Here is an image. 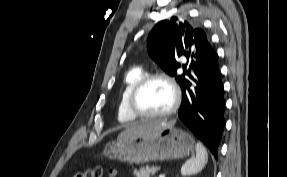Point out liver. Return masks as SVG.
Wrapping results in <instances>:
<instances>
[{
	"label": "liver",
	"mask_w": 287,
	"mask_h": 177,
	"mask_svg": "<svg viewBox=\"0 0 287 177\" xmlns=\"http://www.w3.org/2000/svg\"><path fill=\"white\" fill-rule=\"evenodd\" d=\"M174 124H175V121H170V122L159 121V120L144 121V122H140L137 124H133L130 127L126 128L123 132H121L118 138H126V137H132V136H137V135H144V134L155 132L167 126H173Z\"/></svg>",
	"instance_id": "liver-1"
}]
</instances>
